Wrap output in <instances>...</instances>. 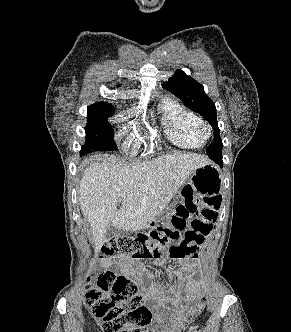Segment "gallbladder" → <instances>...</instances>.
Returning <instances> with one entry per match:
<instances>
[{"mask_svg": "<svg viewBox=\"0 0 291 332\" xmlns=\"http://www.w3.org/2000/svg\"><path fill=\"white\" fill-rule=\"evenodd\" d=\"M118 234H119V230L110 224L106 229L105 238H106V240H109L111 238L118 236Z\"/></svg>", "mask_w": 291, "mask_h": 332, "instance_id": "bac80fb5", "label": "gallbladder"}]
</instances>
